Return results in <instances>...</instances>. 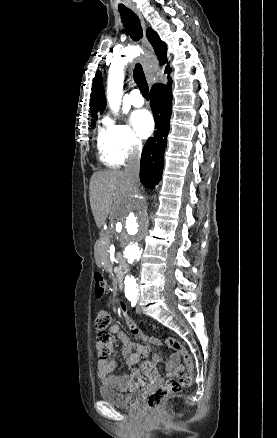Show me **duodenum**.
<instances>
[{
    "label": "duodenum",
    "mask_w": 277,
    "mask_h": 438,
    "mask_svg": "<svg viewBox=\"0 0 277 438\" xmlns=\"http://www.w3.org/2000/svg\"><path fill=\"white\" fill-rule=\"evenodd\" d=\"M117 265H118V275H117V280H118V287L121 289L122 288V272H124L127 269V262L124 259V257L121 254L117 255Z\"/></svg>",
    "instance_id": "obj_1"
}]
</instances>
